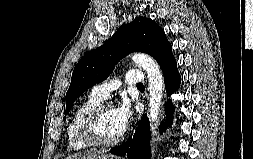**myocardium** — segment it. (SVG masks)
Listing matches in <instances>:
<instances>
[{
    "instance_id": "f54148a6",
    "label": "myocardium",
    "mask_w": 253,
    "mask_h": 159,
    "mask_svg": "<svg viewBox=\"0 0 253 159\" xmlns=\"http://www.w3.org/2000/svg\"><path fill=\"white\" fill-rule=\"evenodd\" d=\"M107 108H114L110 102H101L96 105L85 117L81 127V138L89 147H111L124 140L125 131L113 140H102L98 133V122L101 114Z\"/></svg>"
}]
</instances>
